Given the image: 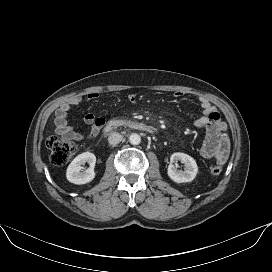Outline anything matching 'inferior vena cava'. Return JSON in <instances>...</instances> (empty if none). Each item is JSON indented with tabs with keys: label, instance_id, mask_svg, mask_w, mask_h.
<instances>
[{
	"label": "inferior vena cava",
	"instance_id": "obj_1",
	"mask_svg": "<svg viewBox=\"0 0 272 272\" xmlns=\"http://www.w3.org/2000/svg\"><path fill=\"white\" fill-rule=\"evenodd\" d=\"M123 139V136L120 133L113 132L111 135L108 137V142L110 145H116L120 143Z\"/></svg>",
	"mask_w": 272,
	"mask_h": 272
}]
</instances>
